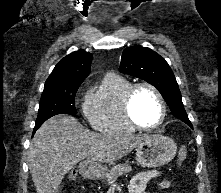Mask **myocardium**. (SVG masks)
Returning a JSON list of instances; mask_svg holds the SVG:
<instances>
[{
    "mask_svg": "<svg viewBox=\"0 0 221 193\" xmlns=\"http://www.w3.org/2000/svg\"><path fill=\"white\" fill-rule=\"evenodd\" d=\"M140 88L150 89L158 98L160 106H161V116L159 121L153 126H142L140 125L133 117L132 114V100L136 93V91ZM123 112L128 123L133 126L135 129L141 131H155L158 130L165 122L167 116V104L164 96L160 92V90L149 82H138L135 84H131V86L127 89L124 99H123Z\"/></svg>",
    "mask_w": 221,
    "mask_h": 193,
    "instance_id": "myocardium-1",
    "label": "myocardium"
}]
</instances>
